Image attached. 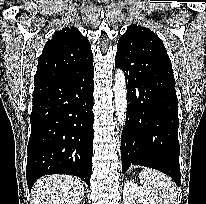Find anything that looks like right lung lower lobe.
Returning a JSON list of instances; mask_svg holds the SVG:
<instances>
[{"label": "right lung lower lobe", "instance_id": "right-lung-lower-lobe-1", "mask_svg": "<svg viewBox=\"0 0 206 204\" xmlns=\"http://www.w3.org/2000/svg\"><path fill=\"white\" fill-rule=\"evenodd\" d=\"M93 62L70 75L35 84L27 147L28 188L47 174H68L90 188L94 114Z\"/></svg>", "mask_w": 206, "mask_h": 204}]
</instances>
